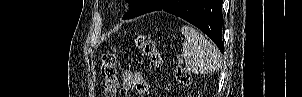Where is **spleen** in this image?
Masks as SVG:
<instances>
[{"label": "spleen", "mask_w": 302, "mask_h": 97, "mask_svg": "<svg viewBox=\"0 0 302 97\" xmlns=\"http://www.w3.org/2000/svg\"><path fill=\"white\" fill-rule=\"evenodd\" d=\"M181 33L185 37L182 55L186 59V71L195 74L216 72L221 66L219 50L193 27L184 25Z\"/></svg>", "instance_id": "3e777b00"}]
</instances>
